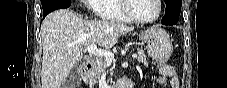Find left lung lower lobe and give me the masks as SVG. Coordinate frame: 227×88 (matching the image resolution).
<instances>
[{
    "mask_svg": "<svg viewBox=\"0 0 227 88\" xmlns=\"http://www.w3.org/2000/svg\"><path fill=\"white\" fill-rule=\"evenodd\" d=\"M181 6L174 4H168L166 6L165 15L162 18L161 23L164 25H175L178 22Z\"/></svg>",
    "mask_w": 227,
    "mask_h": 88,
    "instance_id": "left-lung-lower-lobe-1",
    "label": "left lung lower lobe"
}]
</instances>
